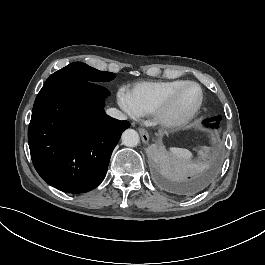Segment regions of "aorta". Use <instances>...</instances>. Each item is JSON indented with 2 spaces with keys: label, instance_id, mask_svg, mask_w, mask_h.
I'll list each match as a JSON object with an SVG mask.
<instances>
[{
  "label": "aorta",
  "instance_id": "obj_1",
  "mask_svg": "<svg viewBox=\"0 0 265 265\" xmlns=\"http://www.w3.org/2000/svg\"><path fill=\"white\" fill-rule=\"evenodd\" d=\"M122 143L128 147H135L139 143V135L134 129H127L122 133Z\"/></svg>",
  "mask_w": 265,
  "mask_h": 265
}]
</instances>
